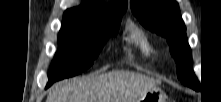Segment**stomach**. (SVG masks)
I'll use <instances>...</instances> for the list:
<instances>
[{
	"label": "stomach",
	"mask_w": 221,
	"mask_h": 102,
	"mask_svg": "<svg viewBox=\"0 0 221 102\" xmlns=\"http://www.w3.org/2000/svg\"><path fill=\"white\" fill-rule=\"evenodd\" d=\"M167 96L163 90L154 87L145 91L134 102H166Z\"/></svg>",
	"instance_id": "0dacf381"
}]
</instances>
